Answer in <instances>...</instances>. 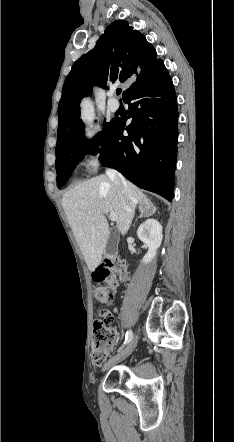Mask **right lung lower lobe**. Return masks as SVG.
<instances>
[{"label":"right lung lower lobe","mask_w":234,"mask_h":442,"mask_svg":"<svg viewBox=\"0 0 234 442\" xmlns=\"http://www.w3.org/2000/svg\"><path fill=\"white\" fill-rule=\"evenodd\" d=\"M124 102L129 104L125 124L116 119L100 159L138 187L168 201L174 196L178 141V108L172 80L163 62L135 81ZM128 136L123 135V130Z\"/></svg>","instance_id":"right-lung-lower-lobe-1"}]
</instances>
